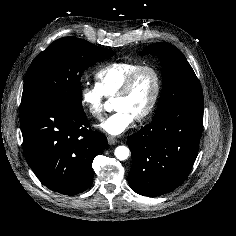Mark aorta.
Wrapping results in <instances>:
<instances>
[{
  "mask_svg": "<svg viewBox=\"0 0 236 236\" xmlns=\"http://www.w3.org/2000/svg\"><path fill=\"white\" fill-rule=\"evenodd\" d=\"M130 155V150L126 146H118L115 149V156L119 160H126Z\"/></svg>",
  "mask_w": 236,
  "mask_h": 236,
  "instance_id": "1",
  "label": "aorta"
}]
</instances>
